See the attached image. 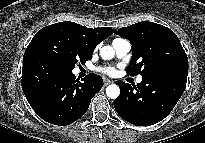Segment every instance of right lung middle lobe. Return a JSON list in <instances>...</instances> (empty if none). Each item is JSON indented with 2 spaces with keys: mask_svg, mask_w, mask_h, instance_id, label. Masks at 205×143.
I'll list each match as a JSON object with an SVG mask.
<instances>
[{
  "mask_svg": "<svg viewBox=\"0 0 205 143\" xmlns=\"http://www.w3.org/2000/svg\"><path fill=\"white\" fill-rule=\"evenodd\" d=\"M93 51L75 30L60 22L42 28L31 40L24 58L44 57L72 70L77 62L84 64L92 59Z\"/></svg>",
  "mask_w": 205,
  "mask_h": 143,
  "instance_id": "right-lung-middle-lobe-1",
  "label": "right lung middle lobe"
}]
</instances>
